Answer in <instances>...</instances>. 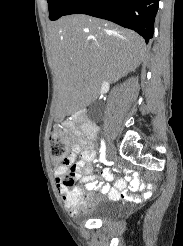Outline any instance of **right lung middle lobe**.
<instances>
[{
	"mask_svg": "<svg viewBox=\"0 0 183 246\" xmlns=\"http://www.w3.org/2000/svg\"><path fill=\"white\" fill-rule=\"evenodd\" d=\"M49 7V19L57 20L65 15L66 11L72 6L75 0H47Z\"/></svg>",
	"mask_w": 183,
	"mask_h": 246,
	"instance_id": "1",
	"label": "right lung middle lobe"
}]
</instances>
